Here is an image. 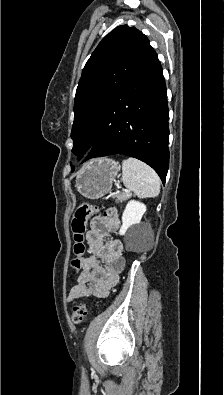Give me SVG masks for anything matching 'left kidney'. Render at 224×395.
<instances>
[{"instance_id": "left-kidney-1", "label": "left kidney", "mask_w": 224, "mask_h": 395, "mask_svg": "<svg viewBox=\"0 0 224 395\" xmlns=\"http://www.w3.org/2000/svg\"><path fill=\"white\" fill-rule=\"evenodd\" d=\"M145 212V204L136 200H130L127 203L122 215V226L120 228L119 234L124 235L129 228L136 224H139Z\"/></svg>"}]
</instances>
